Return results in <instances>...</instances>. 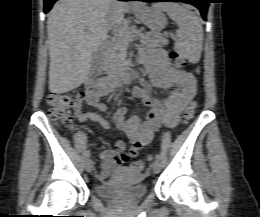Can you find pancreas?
Wrapping results in <instances>:
<instances>
[{"mask_svg":"<svg viewBox=\"0 0 260 217\" xmlns=\"http://www.w3.org/2000/svg\"><path fill=\"white\" fill-rule=\"evenodd\" d=\"M134 37H138L141 44L147 47H162L168 44L158 32H147L144 34L133 33L128 27L121 26L106 43V52L104 68L107 70L110 66L119 63L126 56L129 43Z\"/></svg>","mask_w":260,"mask_h":217,"instance_id":"pancreas-1","label":"pancreas"}]
</instances>
